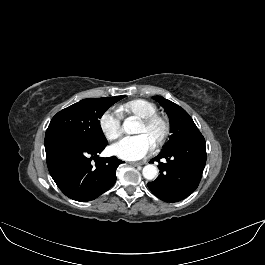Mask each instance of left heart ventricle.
Segmentation results:
<instances>
[{
    "label": "left heart ventricle",
    "instance_id": "b2bd125f",
    "mask_svg": "<svg viewBox=\"0 0 265 265\" xmlns=\"http://www.w3.org/2000/svg\"><path fill=\"white\" fill-rule=\"evenodd\" d=\"M161 131V126L159 124H155L153 126H145L141 122H139L135 133L137 134H144L146 135L149 140L154 143L155 140L158 138Z\"/></svg>",
    "mask_w": 265,
    "mask_h": 265
}]
</instances>
